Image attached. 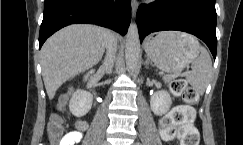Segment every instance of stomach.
I'll list each match as a JSON object with an SVG mask.
<instances>
[{
    "label": "stomach",
    "mask_w": 243,
    "mask_h": 145,
    "mask_svg": "<svg viewBox=\"0 0 243 145\" xmlns=\"http://www.w3.org/2000/svg\"><path fill=\"white\" fill-rule=\"evenodd\" d=\"M145 51L159 69L175 73L198 56L199 43L186 33L166 31L147 40Z\"/></svg>",
    "instance_id": "obj_1"
}]
</instances>
